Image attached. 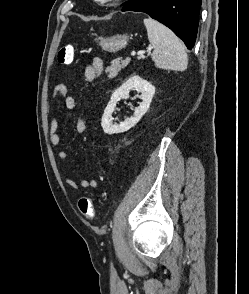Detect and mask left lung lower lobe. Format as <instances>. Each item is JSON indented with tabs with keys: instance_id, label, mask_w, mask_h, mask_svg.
Returning a JSON list of instances; mask_svg holds the SVG:
<instances>
[{
	"instance_id": "1",
	"label": "left lung lower lobe",
	"mask_w": 249,
	"mask_h": 294,
	"mask_svg": "<svg viewBox=\"0 0 249 294\" xmlns=\"http://www.w3.org/2000/svg\"><path fill=\"white\" fill-rule=\"evenodd\" d=\"M200 7L201 0H130L122 11L147 13L169 27L191 49L196 40Z\"/></svg>"
}]
</instances>
